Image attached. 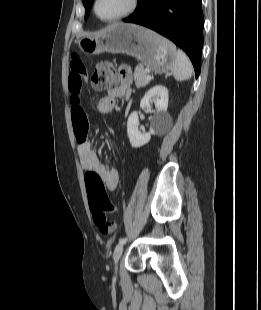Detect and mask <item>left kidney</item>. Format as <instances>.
<instances>
[{
  "instance_id": "5707ae66",
  "label": "left kidney",
  "mask_w": 261,
  "mask_h": 310,
  "mask_svg": "<svg viewBox=\"0 0 261 310\" xmlns=\"http://www.w3.org/2000/svg\"><path fill=\"white\" fill-rule=\"evenodd\" d=\"M168 89L163 85H155L147 91L140 102V108H149L154 102L156 113L152 119L149 133H141L138 129V112H132L127 121V134L130 144L134 148L147 144L151 135L159 134L168 129L171 124V117L167 112L168 108Z\"/></svg>"
}]
</instances>
